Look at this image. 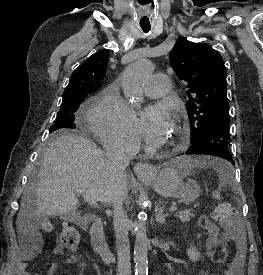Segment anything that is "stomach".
<instances>
[{"instance_id":"0dacf381","label":"stomach","mask_w":263,"mask_h":275,"mask_svg":"<svg viewBox=\"0 0 263 275\" xmlns=\"http://www.w3.org/2000/svg\"><path fill=\"white\" fill-rule=\"evenodd\" d=\"M177 162H171L160 169L152 183L161 196L178 198L180 202L190 203L198 196V190L185 185L177 170Z\"/></svg>"}]
</instances>
